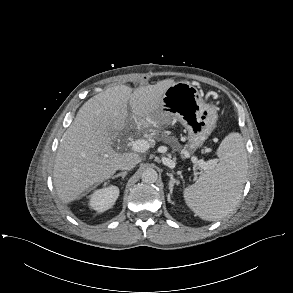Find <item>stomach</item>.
<instances>
[{
    "mask_svg": "<svg viewBox=\"0 0 293 293\" xmlns=\"http://www.w3.org/2000/svg\"><path fill=\"white\" fill-rule=\"evenodd\" d=\"M217 117L216 107L206 103L196 87L182 81L166 89L152 124L180 122L188 131L187 148L192 152L209 137L216 127Z\"/></svg>",
    "mask_w": 293,
    "mask_h": 293,
    "instance_id": "stomach-1",
    "label": "stomach"
}]
</instances>
